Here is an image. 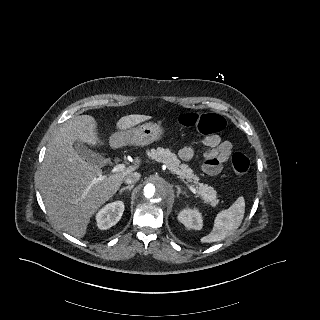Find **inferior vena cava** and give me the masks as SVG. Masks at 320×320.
<instances>
[{"label": "inferior vena cava", "mask_w": 320, "mask_h": 320, "mask_svg": "<svg viewBox=\"0 0 320 320\" xmlns=\"http://www.w3.org/2000/svg\"><path fill=\"white\" fill-rule=\"evenodd\" d=\"M140 177H141L140 173L131 172L124 177V182L126 184H134L140 179Z\"/></svg>", "instance_id": "obj_1"}]
</instances>
